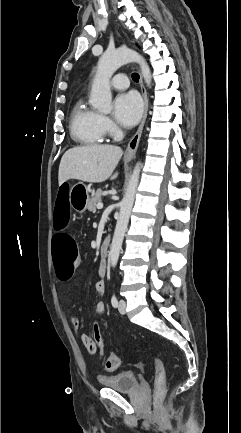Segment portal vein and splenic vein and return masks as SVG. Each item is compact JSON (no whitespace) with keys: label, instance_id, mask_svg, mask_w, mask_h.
<instances>
[{"label":"portal vein and splenic vein","instance_id":"18ae733b","mask_svg":"<svg viewBox=\"0 0 241 433\" xmlns=\"http://www.w3.org/2000/svg\"><path fill=\"white\" fill-rule=\"evenodd\" d=\"M103 208V203H98L97 204V209H102Z\"/></svg>","mask_w":241,"mask_h":433}]
</instances>
